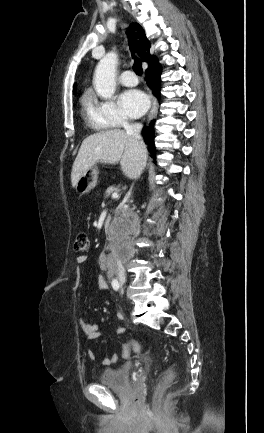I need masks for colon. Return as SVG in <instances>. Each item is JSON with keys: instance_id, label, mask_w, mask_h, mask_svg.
<instances>
[{"instance_id": "colon-1", "label": "colon", "mask_w": 264, "mask_h": 433, "mask_svg": "<svg viewBox=\"0 0 264 433\" xmlns=\"http://www.w3.org/2000/svg\"><path fill=\"white\" fill-rule=\"evenodd\" d=\"M73 248H74V251L76 253H86V252H88L89 249H90V240H89L88 235L86 233H84V232L78 233L77 236H76ZM140 351H141L140 343L137 342V341H135V340H131V341H128L123 346L122 355L125 358H128L131 355L132 352L133 353H140ZM173 375H174V370H173V368H170L167 371L166 378L168 380H170V379L173 378Z\"/></svg>"}]
</instances>
